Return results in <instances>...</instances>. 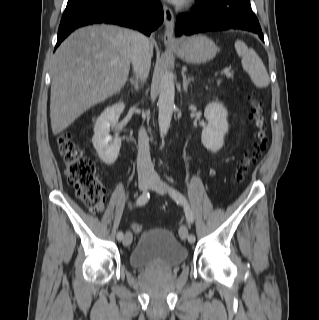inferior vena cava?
Here are the masks:
<instances>
[{"mask_svg": "<svg viewBox=\"0 0 319 320\" xmlns=\"http://www.w3.org/2000/svg\"><path fill=\"white\" fill-rule=\"evenodd\" d=\"M133 48L131 61L133 71L137 78L145 81L148 77L151 65V53L149 40L139 32L132 33ZM137 170L139 176H151L154 174V166L150 157L149 139L144 128L139 130Z\"/></svg>", "mask_w": 319, "mask_h": 320, "instance_id": "1", "label": "inferior vena cava"}]
</instances>
